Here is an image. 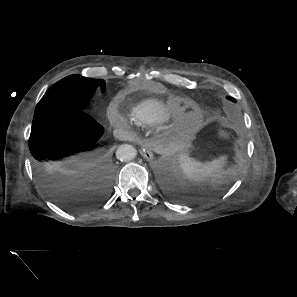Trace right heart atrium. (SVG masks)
Listing matches in <instances>:
<instances>
[{
	"mask_svg": "<svg viewBox=\"0 0 297 297\" xmlns=\"http://www.w3.org/2000/svg\"><path fill=\"white\" fill-rule=\"evenodd\" d=\"M109 118L111 120L112 123L116 124V125H121L124 127H128L130 125V122L122 117L116 110L111 109L109 111Z\"/></svg>",
	"mask_w": 297,
	"mask_h": 297,
	"instance_id": "obj_1",
	"label": "right heart atrium"
}]
</instances>
